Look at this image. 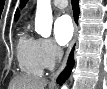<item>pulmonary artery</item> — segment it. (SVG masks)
<instances>
[{"instance_id":"1","label":"pulmonary artery","mask_w":107,"mask_h":89,"mask_svg":"<svg viewBox=\"0 0 107 89\" xmlns=\"http://www.w3.org/2000/svg\"><path fill=\"white\" fill-rule=\"evenodd\" d=\"M53 4L55 7L64 9L67 7V1L66 0H54Z\"/></svg>"}]
</instances>
